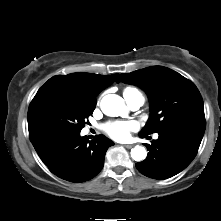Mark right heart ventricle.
I'll list each match as a JSON object with an SVG mask.
<instances>
[{"mask_svg":"<svg viewBox=\"0 0 221 221\" xmlns=\"http://www.w3.org/2000/svg\"><path fill=\"white\" fill-rule=\"evenodd\" d=\"M136 94L142 95L136 88L133 87H127L123 92L124 97H130Z\"/></svg>","mask_w":221,"mask_h":221,"instance_id":"e07e8e85","label":"right heart ventricle"}]
</instances>
